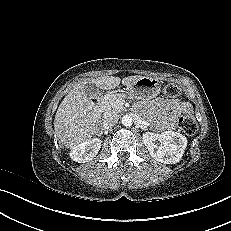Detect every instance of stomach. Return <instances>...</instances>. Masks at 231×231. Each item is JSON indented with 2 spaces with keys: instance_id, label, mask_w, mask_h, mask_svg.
Returning a JSON list of instances; mask_svg holds the SVG:
<instances>
[{
  "instance_id": "obj_1",
  "label": "stomach",
  "mask_w": 231,
  "mask_h": 231,
  "mask_svg": "<svg viewBox=\"0 0 231 231\" xmlns=\"http://www.w3.org/2000/svg\"><path fill=\"white\" fill-rule=\"evenodd\" d=\"M129 96L137 100H150L161 91L160 81L155 77L143 76L126 88Z\"/></svg>"
}]
</instances>
